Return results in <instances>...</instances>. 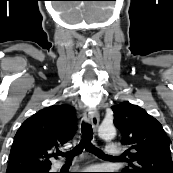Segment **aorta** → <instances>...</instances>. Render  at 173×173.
Returning <instances> with one entry per match:
<instances>
[{
    "label": "aorta",
    "mask_w": 173,
    "mask_h": 173,
    "mask_svg": "<svg viewBox=\"0 0 173 173\" xmlns=\"http://www.w3.org/2000/svg\"><path fill=\"white\" fill-rule=\"evenodd\" d=\"M99 136L103 139H112L116 135V129L112 123H102L98 129Z\"/></svg>",
    "instance_id": "762f6f07"
}]
</instances>
